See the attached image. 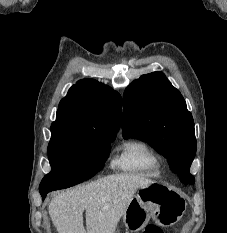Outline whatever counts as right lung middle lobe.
<instances>
[{
	"label": "right lung middle lobe",
	"mask_w": 227,
	"mask_h": 233,
	"mask_svg": "<svg viewBox=\"0 0 227 233\" xmlns=\"http://www.w3.org/2000/svg\"><path fill=\"white\" fill-rule=\"evenodd\" d=\"M116 133L103 137L52 135L48 145L51 172L41 181L39 191L64 189L93 177L110 153Z\"/></svg>",
	"instance_id": "obj_1"
}]
</instances>
